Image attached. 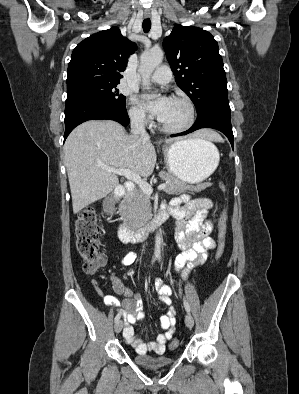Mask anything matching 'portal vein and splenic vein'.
Wrapping results in <instances>:
<instances>
[{"instance_id": "portal-vein-and-splenic-vein-1", "label": "portal vein and splenic vein", "mask_w": 299, "mask_h": 394, "mask_svg": "<svg viewBox=\"0 0 299 394\" xmlns=\"http://www.w3.org/2000/svg\"><path fill=\"white\" fill-rule=\"evenodd\" d=\"M103 169L112 172L116 175H122L124 177H126L128 180L136 183L138 185V187L147 195H151L153 192L152 186L147 183L146 181H144L143 179H141V177L134 173L133 171H131L130 169H116V168H110V167H103ZM166 183L160 184L158 186V190H164L166 188Z\"/></svg>"}]
</instances>
